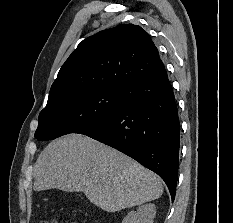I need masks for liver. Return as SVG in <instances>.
<instances>
[{
  "instance_id": "obj_1",
  "label": "liver",
  "mask_w": 233,
  "mask_h": 223,
  "mask_svg": "<svg viewBox=\"0 0 233 223\" xmlns=\"http://www.w3.org/2000/svg\"><path fill=\"white\" fill-rule=\"evenodd\" d=\"M33 171L34 191L51 187L83 191L91 203L104 211L141 205L163 193L156 173L81 133L50 141L35 161Z\"/></svg>"
}]
</instances>
